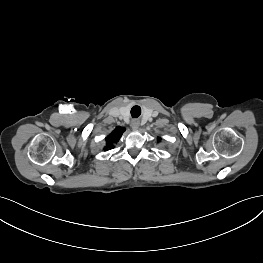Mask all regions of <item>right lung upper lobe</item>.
Here are the masks:
<instances>
[{
    "label": "right lung upper lobe",
    "instance_id": "obj_1",
    "mask_svg": "<svg viewBox=\"0 0 263 263\" xmlns=\"http://www.w3.org/2000/svg\"><path fill=\"white\" fill-rule=\"evenodd\" d=\"M125 131V128L117 127L107 138L106 143L107 146L105 147V150H108V148H114V143L118 142L122 133Z\"/></svg>",
    "mask_w": 263,
    "mask_h": 263
}]
</instances>
